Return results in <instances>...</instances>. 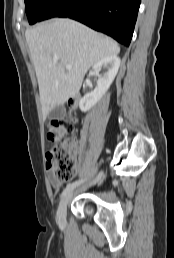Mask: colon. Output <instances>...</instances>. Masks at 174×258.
<instances>
[{"instance_id": "1", "label": "colon", "mask_w": 174, "mask_h": 258, "mask_svg": "<svg viewBox=\"0 0 174 258\" xmlns=\"http://www.w3.org/2000/svg\"><path fill=\"white\" fill-rule=\"evenodd\" d=\"M75 118L54 120L49 124L48 139L52 148L47 152V162L59 180L71 179L77 171L74 156L76 141L69 135L74 132Z\"/></svg>"}]
</instances>
